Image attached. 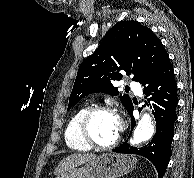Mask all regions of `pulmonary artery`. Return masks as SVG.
Segmentation results:
<instances>
[{
  "instance_id": "1",
  "label": "pulmonary artery",
  "mask_w": 194,
  "mask_h": 178,
  "mask_svg": "<svg viewBox=\"0 0 194 178\" xmlns=\"http://www.w3.org/2000/svg\"><path fill=\"white\" fill-rule=\"evenodd\" d=\"M129 85L132 87V89L134 90V92L136 94H138V95L142 94V90H141L140 86L136 82L131 81L129 83Z\"/></svg>"
}]
</instances>
